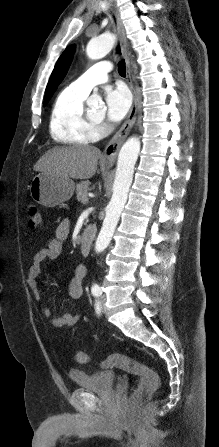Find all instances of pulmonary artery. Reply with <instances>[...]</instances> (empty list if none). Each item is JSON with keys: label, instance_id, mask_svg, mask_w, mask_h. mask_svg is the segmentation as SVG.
<instances>
[{"label": "pulmonary artery", "instance_id": "e3ab8cb5", "mask_svg": "<svg viewBox=\"0 0 219 447\" xmlns=\"http://www.w3.org/2000/svg\"><path fill=\"white\" fill-rule=\"evenodd\" d=\"M110 71L111 65L109 62L104 61L97 63L72 82L69 87L76 92L87 96L94 86L105 83L108 80Z\"/></svg>", "mask_w": 219, "mask_h": 447}]
</instances>
